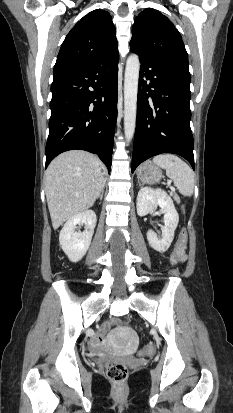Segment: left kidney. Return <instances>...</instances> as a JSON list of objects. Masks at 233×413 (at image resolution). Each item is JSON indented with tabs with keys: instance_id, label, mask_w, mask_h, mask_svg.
I'll return each mask as SVG.
<instances>
[{
	"instance_id": "5707ae66",
	"label": "left kidney",
	"mask_w": 233,
	"mask_h": 413,
	"mask_svg": "<svg viewBox=\"0 0 233 413\" xmlns=\"http://www.w3.org/2000/svg\"><path fill=\"white\" fill-rule=\"evenodd\" d=\"M160 207V213L164 214V227L162 237L158 238L152 230L147 232V240L150 246L163 253L170 247L174 233L179 222V216L175 209L172 199L165 191L161 189H152L148 187L141 188L137 195V213L139 216H145Z\"/></svg>"
}]
</instances>
